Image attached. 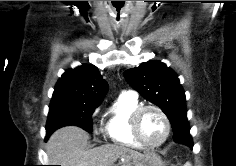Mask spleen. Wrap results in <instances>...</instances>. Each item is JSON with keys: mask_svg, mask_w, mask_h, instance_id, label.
Segmentation results:
<instances>
[{"mask_svg": "<svg viewBox=\"0 0 236 166\" xmlns=\"http://www.w3.org/2000/svg\"><path fill=\"white\" fill-rule=\"evenodd\" d=\"M184 166H191V164L190 163H186Z\"/></svg>", "mask_w": 236, "mask_h": 166, "instance_id": "obj_1", "label": "spleen"}]
</instances>
